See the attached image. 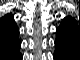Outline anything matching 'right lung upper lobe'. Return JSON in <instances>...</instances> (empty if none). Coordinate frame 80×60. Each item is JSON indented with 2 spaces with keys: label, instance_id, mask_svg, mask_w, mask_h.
Wrapping results in <instances>:
<instances>
[{
  "label": "right lung upper lobe",
  "instance_id": "cb5924a9",
  "mask_svg": "<svg viewBox=\"0 0 80 60\" xmlns=\"http://www.w3.org/2000/svg\"><path fill=\"white\" fill-rule=\"evenodd\" d=\"M3 24L1 29L3 31V36H1V46L2 48L16 47L19 46L18 38V28L14 23L13 16L11 14L6 15L3 18Z\"/></svg>",
  "mask_w": 80,
  "mask_h": 60
}]
</instances>
